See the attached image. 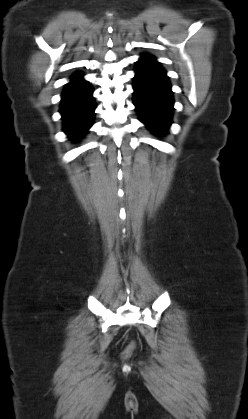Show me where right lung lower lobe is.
I'll return each mask as SVG.
<instances>
[{
  "label": "right lung lower lobe",
  "mask_w": 248,
  "mask_h": 419,
  "mask_svg": "<svg viewBox=\"0 0 248 419\" xmlns=\"http://www.w3.org/2000/svg\"><path fill=\"white\" fill-rule=\"evenodd\" d=\"M90 84L75 74L62 93L60 113L64 131L70 138H80L93 124L96 108Z\"/></svg>",
  "instance_id": "98d812e1"
}]
</instances>
